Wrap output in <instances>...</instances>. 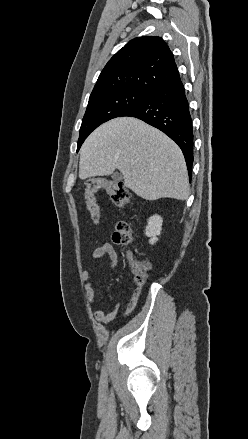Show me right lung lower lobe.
Returning <instances> with one entry per match:
<instances>
[{
    "label": "right lung lower lobe",
    "instance_id": "obj_1",
    "mask_svg": "<svg viewBox=\"0 0 248 439\" xmlns=\"http://www.w3.org/2000/svg\"><path fill=\"white\" fill-rule=\"evenodd\" d=\"M122 116L143 120L164 132L181 148L191 180L193 164V127L183 83L178 77L148 94Z\"/></svg>",
    "mask_w": 248,
    "mask_h": 439
}]
</instances>
